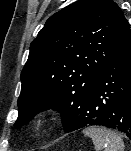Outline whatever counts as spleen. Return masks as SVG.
Masks as SVG:
<instances>
[{
  "mask_svg": "<svg viewBox=\"0 0 131 151\" xmlns=\"http://www.w3.org/2000/svg\"><path fill=\"white\" fill-rule=\"evenodd\" d=\"M91 138L96 151H124V143L115 132L102 127H89L83 130Z\"/></svg>",
  "mask_w": 131,
  "mask_h": 151,
  "instance_id": "3e777b00",
  "label": "spleen"
}]
</instances>
